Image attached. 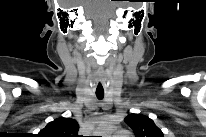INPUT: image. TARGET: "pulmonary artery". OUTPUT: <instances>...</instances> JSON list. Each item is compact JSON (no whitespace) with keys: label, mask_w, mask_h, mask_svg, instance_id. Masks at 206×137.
<instances>
[{"label":"pulmonary artery","mask_w":206,"mask_h":137,"mask_svg":"<svg viewBox=\"0 0 206 137\" xmlns=\"http://www.w3.org/2000/svg\"><path fill=\"white\" fill-rule=\"evenodd\" d=\"M112 137H129L126 131H118Z\"/></svg>","instance_id":"1"}]
</instances>
